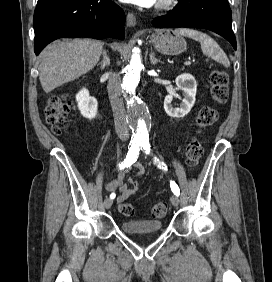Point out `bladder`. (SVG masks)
<instances>
[{
  "label": "bladder",
  "mask_w": 272,
  "mask_h": 282,
  "mask_svg": "<svg viewBox=\"0 0 272 282\" xmlns=\"http://www.w3.org/2000/svg\"><path fill=\"white\" fill-rule=\"evenodd\" d=\"M162 222L153 220H129L121 223L120 228L130 234L155 233L162 229Z\"/></svg>",
  "instance_id": "obj_1"
}]
</instances>
